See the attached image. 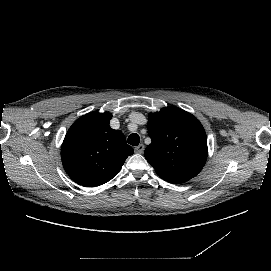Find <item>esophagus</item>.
<instances>
[{
	"instance_id": "esophagus-1",
	"label": "esophagus",
	"mask_w": 271,
	"mask_h": 271,
	"mask_svg": "<svg viewBox=\"0 0 271 271\" xmlns=\"http://www.w3.org/2000/svg\"><path fill=\"white\" fill-rule=\"evenodd\" d=\"M144 150H145V145L142 143L134 148L135 153H138V154H142Z\"/></svg>"
}]
</instances>
